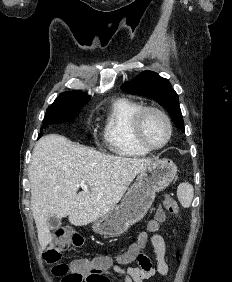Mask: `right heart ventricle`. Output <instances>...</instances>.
I'll return each mask as SVG.
<instances>
[{
    "mask_svg": "<svg viewBox=\"0 0 232 282\" xmlns=\"http://www.w3.org/2000/svg\"><path fill=\"white\" fill-rule=\"evenodd\" d=\"M142 106L128 98L115 99L109 106L103 136L107 148L122 157H143L149 151L134 139L132 120Z\"/></svg>",
    "mask_w": 232,
    "mask_h": 282,
    "instance_id": "1",
    "label": "right heart ventricle"
}]
</instances>
